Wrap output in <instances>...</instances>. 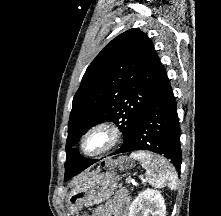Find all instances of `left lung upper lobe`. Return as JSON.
<instances>
[{"label":"left lung upper lobe","instance_id":"1","mask_svg":"<svg viewBox=\"0 0 221 216\" xmlns=\"http://www.w3.org/2000/svg\"><path fill=\"white\" fill-rule=\"evenodd\" d=\"M160 66L152 41L139 29L120 34L96 56L73 98L65 181L83 170L86 158L72 147L92 126L113 121L124 133L122 147L131 140L149 105Z\"/></svg>","mask_w":221,"mask_h":216}]
</instances>
